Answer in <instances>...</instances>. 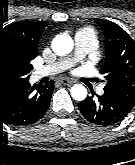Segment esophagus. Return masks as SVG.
I'll return each instance as SVG.
<instances>
[{
  "label": "esophagus",
  "instance_id": "esophagus-1",
  "mask_svg": "<svg viewBox=\"0 0 135 165\" xmlns=\"http://www.w3.org/2000/svg\"><path fill=\"white\" fill-rule=\"evenodd\" d=\"M60 82L63 84V85H66V86H71L73 84V81H71L70 79L68 78H63L60 80Z\"/></svg>",
  "mask_w": 135,
  "mask_h": 165
}]
</instances>
